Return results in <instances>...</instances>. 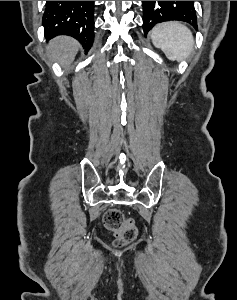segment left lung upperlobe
<instances>
[{"label": "left lung upper lobe", "instance_id": "5c2ea615", "mask_svg": "<svg viewBox=\"0 0 237 300\" xmlns=\"http://www.w3.org/2000/svg\"><path fill=\"white\" fill-rule=\"evenodd\" d=\"M149 2L143 1V29L145 34L155 24L170 20L184 21L197 28L196 13L191 8L171 3V1H162L156 5Z\"/></svg>", "mask_w": 237, "mask_h": 300}]
</instances>
